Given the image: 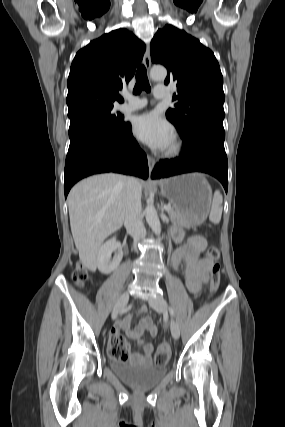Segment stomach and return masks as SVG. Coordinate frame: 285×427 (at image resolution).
Segmentation results:
<instances>
[{
    "instance_id": "0dacf381",
    "label": "stomach",
    "mask_w": 285,
    "mask_h": 427,
    "mask_svg": "<svg viewBox=\"0 0 285 427\" xmlns=\"http://www.w3.org/2000/svg\"><path fill=\"white\" fill-rule=\"evenodd\" d=\"M162 194L172 203L190 226L200 225L207 218L212 190L199 173L171 177L160 182Z\"/></svg>"
}]
</instances>
